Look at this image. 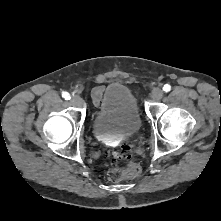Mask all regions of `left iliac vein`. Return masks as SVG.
Masks as SVG:
<instances>
[{
  "mask_svg": "<svg viewBox=\"0 0 221 221\" xmlns=\"http://www.w3.org/2000/svg\"><path fill=\"white\" fill-rule=\"evenodd\" d=\"M163 97V91L160 88H155L151 93V98L154 101H159Z\"/></svg>",
  "mask_w": 221,
  "mask_h": 221,
  "instance_id": "4c4485c4",
  "label": "left iliac vein"
}]
</instances>
